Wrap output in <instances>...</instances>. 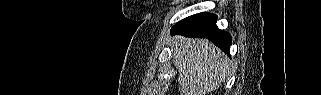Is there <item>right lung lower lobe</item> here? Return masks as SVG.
Here are the masks:
<instances>
[{"mask_svg": "<svg viewBox=\"0 0 321 95\" xmlns=\"http://www.w3.org/2000/svg\"><path fill=\"white\" fill-rule=\"evenodd\" d=\"M217 16L210 13L192 15L178 22L172 28V34H181L187 37L208 38L216 46L229 54L231 36L216 26Z\"/></svg>", "mask_w": 321, "mask_h": 95, "instance_id": "right-lung-lower-lobe-1", "label": "right lung lower lobe"}]
</instances>
